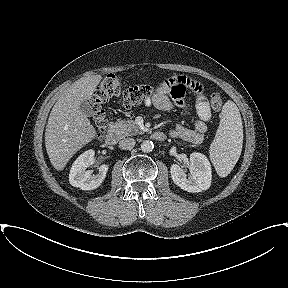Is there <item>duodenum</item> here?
<instances>
[{"label":"duodenum","instance_id":"1","mask_svg":"<svg viewBox=\"0 0 288 288\" xmlns=\"http://www.w3.org/2000/svg\"><path fill=\"white\" fill-rule=\"evenodd\" d=\"M152 138L157 140V141H164L166 139V134L162 131H156L152 134ZM118 141V133L117 129L113 124L109 125L105 142L109 146H113L117 143Z\"/></svg>","mask_w":288,"mask_h":288}]
</instances>
